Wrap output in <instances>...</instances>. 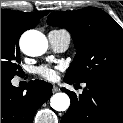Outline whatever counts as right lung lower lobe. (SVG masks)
Listing matches in <instances>:
<instances>
[{"mask_svg":"<svg viewBox=\"0 0 123 123\" xmlns=\"http://www.w3.org/2000/svg\"><path fill=\"white\" fill-rule=\"evenodd\" d=\"M52 95V85L30 81L26 92L1 81V123H32L36 110Z\"/></svg>","mask_w":123,"mask_h":123,"instance_id":"1","label":"right lung lower lobe"}]
</instances>
